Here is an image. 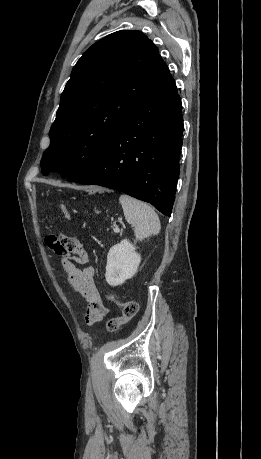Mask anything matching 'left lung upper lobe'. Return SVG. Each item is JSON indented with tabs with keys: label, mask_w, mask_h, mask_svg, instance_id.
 <instances>
[{
	"label": "left lung upper lobe",
	"mask_w": 261,
	"mask_h": 459,
	"mask_svg": "<svg viewBox=\"0 0 261 459\" xmlns=\"http://www.w3.org/2000/svg\"><path fill=\"white\" fill-rule=\"evenodd\" d=\"M169 74L140 31H118L93 44L61 95L41 159L43 175L52 170L69 178L91 166Z\"/></svg>",
	"instance_id": "1"
}]
</instances>
